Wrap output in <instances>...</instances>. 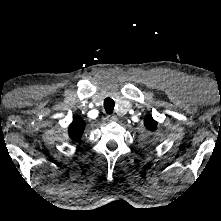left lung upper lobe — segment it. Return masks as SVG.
I'll list each match as a JSON object with an SVG mask.
<instances>
[{
    "label": "left lung upper lobe",
    "instance_id": "obj_1",
    "mask_svg": "<svg viewBox=\"0 0 221 221\" xmlns=\"http://www.w3.org/2000/svg\"><path fill=\"white\" fill-rule=\"evenodd\" d=\"M144 124L148 130H154L157 126V122L151 116L145 118Z\"/></svg>",
    "mask_w": 221,
    "mask_h": 221
}]
</instances>
